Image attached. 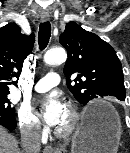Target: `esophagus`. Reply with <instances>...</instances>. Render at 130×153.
<instances>
[{
	"instance_id": "esophagus-1",
	"label": "esophagus",
	"mask_w": 130,
	"mask_h": 153,
	"mask_svg": "<svg viewBox=\"0 0 130 153\" xmlns=\"http://www.w3.org/2000/svg\"><path fill=\"white\" fill-rule=\"evenodd\" d=\"M49 18H50V15L49 14H42L41 15L42 21H47V20H49ZM44 153H56V151H55V149L52 146L47 145L44 148Z\"/></svg>"
}]
</instances>
